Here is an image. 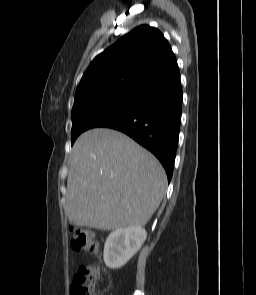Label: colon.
<instances>
[{
	"label": "colon",
	"instance_id": "5ec220e1",
	"mask_svg": "<svg viewBox=\"0 0 256 295\" xmlns=\"http://www.w3.org/2000/svg\"><path fill=\"white\" fill-rule=\"evenodd\" d=\"M71 233L70 246L75 252L94 254L99 251L98 242L90 232L72 227ZM98 280L97 265L80 266L71 286L72 295H95Z\"/></svg>",
	"mask_w": 256,
	"mask_h": 295
}]
</instances>
